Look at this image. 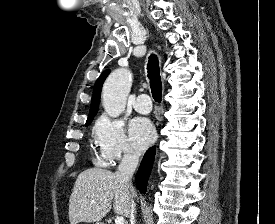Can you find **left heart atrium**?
Here are the masks:
<instances>
[{
    "label": "left heart atrium",
    "mask_w": 275,
    "mask_h": 224,
    "mask_svg": "<svg viewBox=\"0 0 275 224\" xmlns=\"http://www.w3.org/2000/svg\"><path fill=\"white\" fill-rule=\"evenodd\" d=\"M129 135L132 145L138 150H143L154 140L155 130L148 119L135 118L130 123Z\"/></svg>",
    "instance_id": "obj_1"
}]
</instances>
